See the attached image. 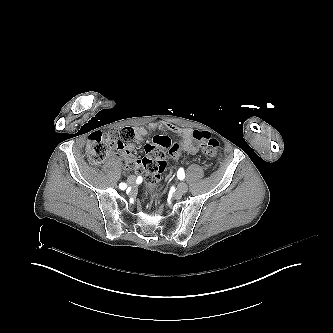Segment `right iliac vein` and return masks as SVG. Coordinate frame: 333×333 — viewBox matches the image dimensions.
I'll return each instance as SVG.
<instances>
[{"label": "right iliac vein", "instance_id": "1", "mask_svg": "<svg viewBox=\"0 0 333 333\" xmlns=\"http://www.w3.org/2000/svg\"><path fill=\"white\" fill-rule=\"evenodd\" d=\"M127 181H128L129 184H131V183H133L135 181V177L134 176H129L127 178Z\"/></svg>", "mask_w": 333, "mask_h": 333}]
</instances>
